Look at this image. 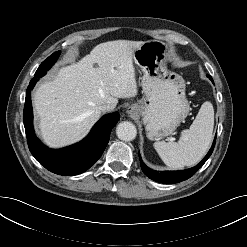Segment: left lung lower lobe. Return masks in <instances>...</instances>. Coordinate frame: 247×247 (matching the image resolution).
<instances>
[{
    "label": "left lung lower lobe",
    "instance_id": "obj_1",
    "mask_svg": "<svg viewBox=\"0 0 247 247\" xmlns=\"http://www.w3.org/2000/svg\"><path fill=\"white\" fill-rule=\"evenodd\" d=\"M209 79L213 82L211 76H209ZM216 142V136L213 141L212 147L210 148L209 152L207 155L204 157V159L195 167L187 169V170H181V171H164V172H159L152 170L148 168L142 161L141 156L140 157V164H141V169L145 175H147L150 179L164 183V184H173V183H178L184 180H187L191 176H193L206 162V160L210 157V155L213 152L214 146Z\"/></svg>",
    "mask_w": 247,
    "mask_h": 247
}]
</instances>
